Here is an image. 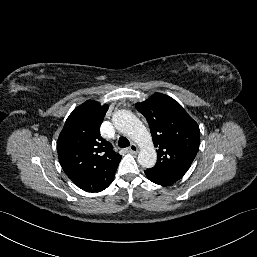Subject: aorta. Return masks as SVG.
<instances>
[{"label": "aorta", "mask_w": 257, "mask_h": 257, "mask_svg": "<svg viewBox=\"0 0 257 257\" xmlns=\"http://www.w3.org/2000/svg\"><path fill=\"white\" fill-rule=\"evenodd\" d=\"M115 128L130 137L140 147L138 163L143 168H152L157 160L152 137L144 124L130 111L118 110L113 114Z\"/></svg>", "instance_id": "obj_1"}]
</instances>
